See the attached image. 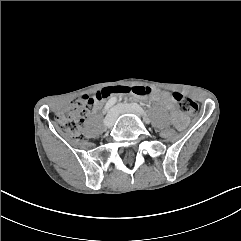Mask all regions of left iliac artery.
Segmentation results:
<instances>
[{"instance_id":"left-iliac-artery-1","label":"left iliac artery","mask_w":241,"mask_h":241,"mask_svg":"<svg viewBox=\"0 0 241 241\" xmlns=\"http://www.w3.org/2000/svg\"><path fill=\"white\" fill-rule=\"evenodd\" d=\"M131 106L142 116L147 117L146 112L143 110V108L141 106H139L136 103H132Z\"/></svg>"}]
</instances>
